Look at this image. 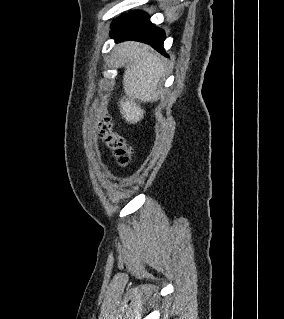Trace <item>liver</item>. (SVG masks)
I'll return each instance as SVG.
<instances>
[{"mask_svg": "<svg viewBox=\"0 0 284 319\" xmlns=\"http://www.w3.org/2000/svg\"><path fill=\"white\" fill-rule=\"evenodd\" d=\"M128 62L123 76L125 96L119 101L120 113L126 122L135 124L144 117L141 102L156 101L163 64L148 45L125 42L117 51Z\"/></svg>", "mask_w": 284, "mask_h": 319, "instance_id": "1", "label": "liver"}]
</instances>
